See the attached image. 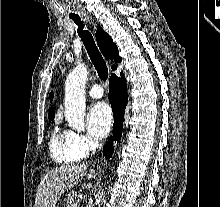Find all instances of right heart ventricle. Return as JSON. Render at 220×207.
<instances>
[{
    "mask_svg": "<svg viewBox=\"0 0 220 207\" xmlns=\"http://www.w3.org/2000/svg\"><path fill=\"white\" fill-rule=\"evenodd\" d=\"M49 151L53 161L60 165L74 164L86 154L75 142L69 130L56 128L49 139Z\"/></svg>",
    "mask_w": 220,
    "mask_h": 207,
    "instance_id": "e07e8e85",
    "label": "right heart ventricle"
}]
</instances>
